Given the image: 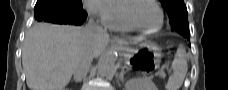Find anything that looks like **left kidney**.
<instances>
[{
    "label": "left kidney",
    "instance_id": "obj_1",
    "mask_svg": "<svg viewBox=\"0 0 228 90\" xmlns=\"http://www.w3.org/2000/svg\"><path fill=\"white\" fill-rule=\"evenodd\" d=\"M126 90H158L155 84L148 78H134L125 84Z\"/></svg>",
    "mask_w": 228,
    "mask_h": 90
}]
</instances>
